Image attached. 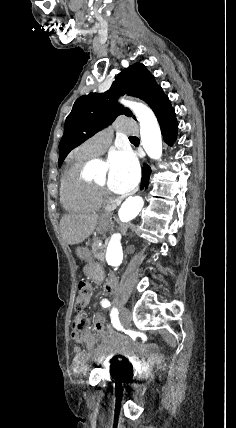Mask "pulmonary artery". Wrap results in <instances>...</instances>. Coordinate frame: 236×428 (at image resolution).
Returning <instances> with one entry per match:
<instances>
[{"label": "pulmonary artery", "mask_w": 236, "mask_h": 428, "mask_svg": "<svg viewBox=\"0 0 236 428\" xmlns=\"http://www.w3.org/2000/svg\"><path fill=\"white\" fill-rule=\"evenodd\" d=\"M105 148H107L106 145H92L90 142L84 144L85 152L91 158L100 155Z\"/></svg>", "instance_id": "1"}]
</instances>
